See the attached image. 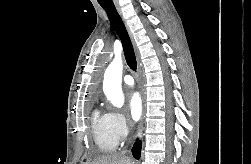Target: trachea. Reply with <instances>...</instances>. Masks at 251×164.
<instances>
[{"instance_id": "trachea-1", "label": "trachea", "mask_w": 251, "mask_h": 164, "mask_svg": "<svg viewBox=\"0 0 251 164\" xmlns=\"http://www.w3.org/2000/svg\"><path fill=\"white\" fill-rule=\"evenodd\" d=\"M102 8L105 10L107 13V16L114 27L116 33L118 34L122 45H123V51L125 55L126 62L130 69L133 71H136L137 68V62H136V57L134 53V49L131 43V40L129 38V35L127 33V30L123 24L122 19L120 18L112 0L110 2H106L103 4H100Z\"/></svg>"}]
</instances>
